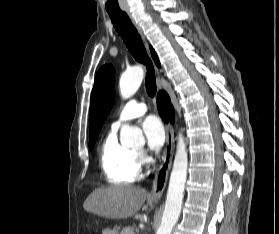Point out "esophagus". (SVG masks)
<instances>
[{
  "mask_svg": "<svg viewBox=\"0 0 279 234\" xmlns=\"http://www.w3.org/2000/svg\"><path fill=\"white\" fill-rule=\"evenodd\" d=\"M127 15L130 17L132 23L135 25L136 29L138 30L145 47L149 51V45L146 41V38L143 34L141 27L134 21L129 11H126ZM156 69L157 78L159 79V71L158 68ZM158 89H161V85L158 83ZM173 146H174V132L173 128L170 123L166 125V147L162 156V162L157 170L155 180L153 182V186L150 192V197L154 199H159L166 187L168 174L172 165V158H173Z\"/></svg>",
  "mask_w": 279,
  "mask_h": 234,
  "instance_id": "34e87169",
  "label": "esophagus"
}]
</instances>
